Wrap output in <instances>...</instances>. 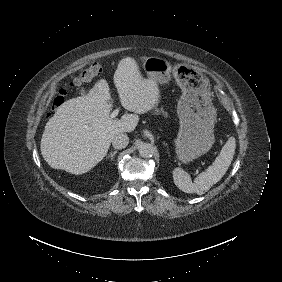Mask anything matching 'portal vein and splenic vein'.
I'll use <instances>...</instances> for the list:
<instances>
[{
  "mask_svg": "<svg viewBox=\"0 0 282 282\" xmlns=\"http://www.w3.org/2000/svg\"><path fill=\"white\" fill-rule=\"evenodd\" d=\"M117 114H118V111L111 112L109 115V120L112 121L117 116Z\"/></svg>",
  "mask_w": 282,
  "mask_h": 282,
  "instance_id": "1",
  "label": "portal vein and splenic vein"
}]
</instances>
